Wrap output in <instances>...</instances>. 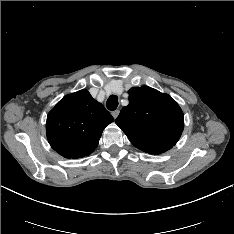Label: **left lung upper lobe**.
I'll return each instance as SVG.
<instances>
[{"label":"left lung upper lobe","instance_id":"left-lung-upper-lobe-1","mask_svg":"<svg viewBox=\"0 0 234 234\" xmlns=\"http://www.w3.org/2000/svg\"><path fill=\"white\" fill-rule=\"evenodd\" d=\"M129 105L123 107L116 124L138 149L160 154L179 140L184 116L178 103L168 94L151 87L129 90Z\"/></svg>","mask_w":234,"mask_h":234}]
</instances>
